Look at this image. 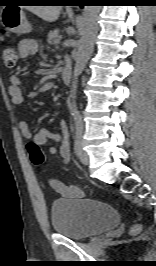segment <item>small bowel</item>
Listing matches in <instances>:
<instances>
[{"label": "small bowel", "mask_w": 156, "mask_h": 266, "mask_svg": "<svg viewBox=\"0 0 156 266\" xmlns=\"http://www.w3.org/2000/svg\"><path fill=\"white\" fill-rule=\"evenodd\" d=\"M38 51L37 43L32 39H23L18 44V53L20 58H27L36 54ZM24 75H13L10 78L9 95L14 105H21L24 101L23 92L21 89V82ZM19 130L25 139L31 140L38 146L46 144L48 141L60 143L59 154L63 163H67L71 158L70 150V137L68 131V125L66 121H61L60 132H51L47 129H40L37 132H32L28 123L24 120L18 123ZM57 149L55 147L50 148V153L55 154ZM53 189L66 198H82L84 196L83 191L74 185H65L57 180L50 182Z\"/></svg>", "instance_id": "obj_1"}]
</instances>
